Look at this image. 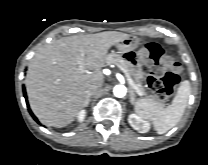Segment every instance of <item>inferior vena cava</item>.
<instances>
[{"mask_svg": "<svg viewBox=\"0 0 208 165\" xmlns=\"http://www.w3.org/2000/svg\"><path fill=\"white\" fill-rule=\"evenodd\" d=\"M102 86V83H93L89 86L88 92L89 94H93L96 92L98 89H100Z\"/></svg>", "mask_w": 208, "mask_h": 165, "instance_id": "1", "label": "inferior vena cava"}]
</instances>
